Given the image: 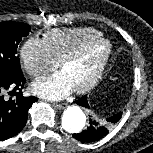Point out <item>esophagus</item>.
Returning a JSON list of instances; mask_svg holds the SVG:
<instances>
[{
  "label": "esophagus",
  "instance_id": "34e87169",
  "mask_svg": "<svg viewBox=\"0 0 153 153\" xmlns=\"http://www.w3.org/2000/svg\"><path fill=\"white\" fill-rule=\"evenodd\" d=\"M53 107L56 108V109L62 110V109H64L66 107V104H63V103H54Z\"/></svg>",
  "mask_w": 153,
  "mask_h": 153
}]
</instances>
